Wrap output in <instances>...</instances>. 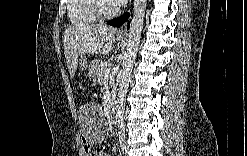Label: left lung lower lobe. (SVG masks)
I'll use <instances>...</instances> for the list:
<instances>
[{
	"instance_id": "0a47b994",
	"label": "left lung lower lobe",
	"mask_w": 247,
	"mask_h": 156,
	"mask_svg": "<svg viewBox=\"0 0 247 156\" xmlns=\"http://www.w3.org/2000/svg\"><path fill=\"white\" fill-rule=\"evenodd\" d=\"M128 17H129V13H126L125 15H123V16H121L119 18H116L114 20L108 21L107 24L112 25V26H115V27H119L124 22L127 21Z\"/></svg>"
}]
</instances>
